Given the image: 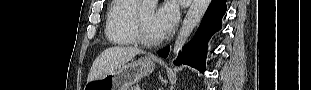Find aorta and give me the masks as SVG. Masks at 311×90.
Returning <instances> with one entry per match:
<instances>
[{
  "label": "aorta",
  "instance_id": "1",
  "mask_svg": "<svg viewBox=\"0 0 311 90\" xmlns=\"http://www.w3.org/2000/svg\"><path fill=\"white\" fill-rule=\"evenodd\" d=\"M156 0H143L140 6L141 10L154 11L156 8ZM211 0H193L188 12L183 20L182 26L176 38L172 52L173 59L177 56L183 45L188 40L190 34L200 22L202 16L206 12Z\"/></svg>",
  "mask_w": 311,
  "mask_h": 90
}]
</instances>
